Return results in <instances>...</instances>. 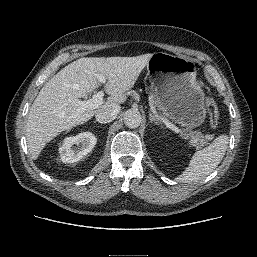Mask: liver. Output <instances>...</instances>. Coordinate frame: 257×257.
<instances>
[{
  "label": "liver",
  "mask_w": 257,
  "mask_h": 257,
  "mask_svg": "<svg viewBox=\"0 0 257 257\" xmlns=\"http://www.w3.org/2000/svg\"><path fill=\"white\" fill-rule=\"evenodd\" d=\"M152 54L136 57H86L61 69L40 90L34 100L26 125L29 153L35 160L46 143L61 132L90 120L98 109L124 103L125 93L133 88ZM96 74L106 78L109 96L98 109L77 113V101L99 87Z\"/></svg>",
  "instance_id": "obj_1"
}]
</instances>
